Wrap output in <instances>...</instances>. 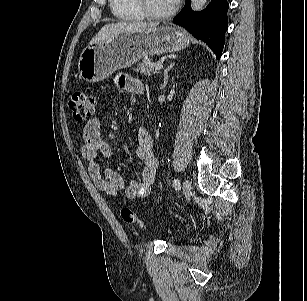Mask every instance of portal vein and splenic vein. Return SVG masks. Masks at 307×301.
<instances>
[{
	"label": "portal vein and splenic vein",
	"mask_w": 307,
	"mask_h": 301,
	"mask_svg": "<svg viewBox=\"0 0 307 301\" xmlns=\"http://www.w3.org/2000/svg\"><path fill=\"white\" fill-rule=\"evenodd\" d=\"M161 69H163V65H161V64L155 65V70L156 71H160Z\"/></svg>",
	"instance_id": "obj_1"
}]
</instances>
